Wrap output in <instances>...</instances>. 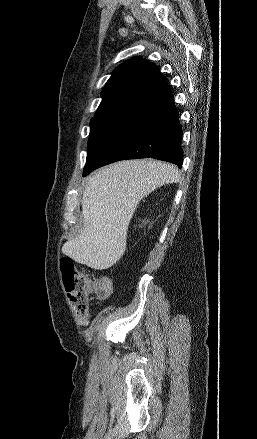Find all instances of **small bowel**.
Masks as SVG:
<instances>
[{
    "instance_id": "obj_1",
    "label": "small bowel",
    "mask_w": 257,
    "mask_h": 439,
    "mask_svg": "<svg viewBox=\"0 0 257 439\" xmlns=\"http://www.w3.org/2000/svg\"><path fill=\"white\" fill-rule=\"evenodd\" d=\"M78 323H79L80 325H87V324H88V319H87V318L79 317V318H78Z\"/></svg>"
}]
</instances>
